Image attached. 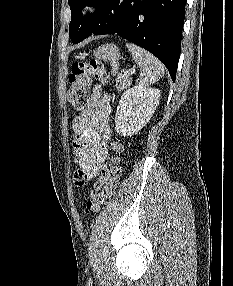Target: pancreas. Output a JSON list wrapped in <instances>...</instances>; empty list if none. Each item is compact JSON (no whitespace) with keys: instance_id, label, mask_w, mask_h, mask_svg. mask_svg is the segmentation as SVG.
Returning a JSON list of instances; mask_svg holds the SVG:
<instances>
[{"instance_id":"1","label":"pancreas","mask_w":233,"mask_h":286,"mask_svg":"<svg viewBox=\"0 0 233 286\" xmlns=\"http://www.w3.org/2000/svg\"><path fill=\"white\" fill-rule=\"evenodd\" d=\"M112 74L116 76V88L118 91H122L131 85V79L124 74L117 72L114 68L112 69Z\"/></svg>"}]
</instances>
